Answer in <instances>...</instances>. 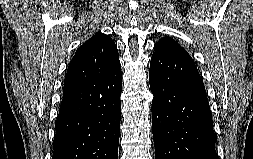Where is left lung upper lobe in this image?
<instances>
[{
  "mask_svg": "<svg viewBox=\"0 0 253 159\" xmlns=\"http://www.w3.org/2000/svg\"><path fill=\"white\" fill-rule=\"evenodd\" d=\"M154 50V54L190 57L189 54L185 51V49H183L176 41L169 37L161 38L154 45Z\"/></svg>",
  "mask_w": 253,
  "mask_h": 159,
  "instance_id": "obj_1",
  "label": "left lung upper lobe"
}]
</instances>
